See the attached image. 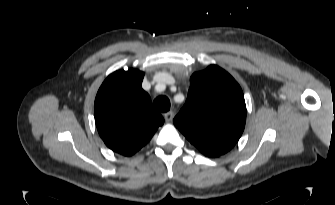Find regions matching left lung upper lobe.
Masks as SVG:
<instances>
[{"mask_svg":"<svg viewBox=\"0 0 335 205\" xmlns=\"http://www.w3.org/2000/svg\"><path fill=\"white\" fill-rule=\"evenodd\" d=\"M173 122L204 155L225 154L245 127L242 89L225 70L210 65L191 76L186 103Z\"/></svg>","mask_w":335,"mask_h":205,"instance_id":"obj_1","label":"left lung upper lobe"}]
</instances>
